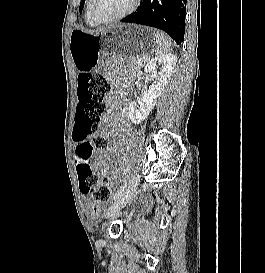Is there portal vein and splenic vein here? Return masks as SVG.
I'll use <instances>...</instances> for the list:
<instances>
[{"label": "portal vein and splenic vein", "instance_id": "1", "mask_svg": "<svg viewBox=\"0 0 265 273\" xmlns=\"http://www.w3.org/2000/svg\"><path fill=\"white\" fill-rule=\"evenodd\" d=\"M146 58H147V57L144 55V56H143V59H146Z\"/></svg>", "mask_w": 265, "mask_h": 273}]
</instances>
